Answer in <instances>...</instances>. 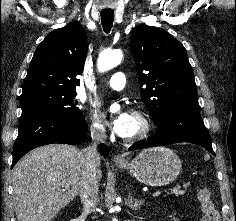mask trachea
Here are the masks:
<instances>
[{
	"label": "trachea",
	"mask_w": 236,
	"mask_h": 221,
	"mask_svg": "<svg viewBox=\"0 0 236 221\" xmlns=\"http://www.w3.org/2000/svg\"><path fill=\"white\" fill-rule=\"evenodd\" d=\"M100 16L104 32L109 33L114 21V11H102Z\"/></svg>",
	"instance_id": "obj_1"
}]
</instances>
